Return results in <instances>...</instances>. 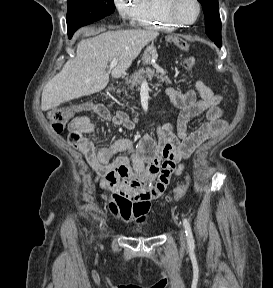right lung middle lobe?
Returning <instances> with one entry per match:
<instances>
[{
	"label": "right lung middle lobe",
	"mask_w": 273,
	"mask_h": 288,
	"mask_svg": "<svg viewBox=\"0 0 273 288\" xmlns=\"http://www.w3.org/2000/svg\"><path fill=\"white\" fill-rule=\"evenodd\" d=\"M67 6L66 20L69 37L79 27L100 20L115 10L113 0H68Z\"/></svg>",
	"instance_id": "right-lung-middle-lobe-1"
}]
</instances>
